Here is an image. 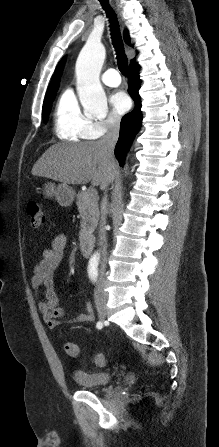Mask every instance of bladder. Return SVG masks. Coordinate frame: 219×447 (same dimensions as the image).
Wrapping results in <instances>:
<instances>
[{"mask_svg": "<svg viewBox=\"0 0 219 447\" xmlns=\"http://www.w3.org/2000/svg\"><path fill=\"white\" fill-rule=\"evenodd\" d=\"M71 376L83 390H94L106 386L112 378L108 372H87L78 369L73 370Z\"/></svg>", "mask_w": 219, "mask_h": 447, "instance_id": "1", "label": "bladder"}]
</instances>
